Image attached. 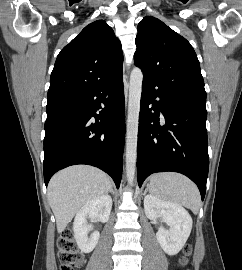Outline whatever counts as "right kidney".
I'll list each match as a JSON object with an SVG mask.
<instances>
[{
    "instance_id": "1",
    "label": "right kidney",
    "mask_w": 242,
    "mask_h": 270,
    "mask_svg": "<svg viewBox=\"0 0 242 270\" xmlns=\"http://www.w3.org/2000/svg\"><path fill=\"white\" fill-rule=\"evenodd\" d=\"M112 208V198L109 195H102L87 202L76 214L73 231L78 247L82 252H91L98 243L100 233L94 231L90 238L88 232L92 226L87 223V217L101 222H107Z\"/></svg>"
}]
</instances>
